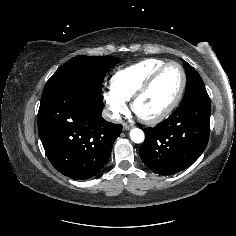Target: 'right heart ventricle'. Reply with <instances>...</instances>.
I'll return each mask as SVG.
<instances>
[{
    "label": "right heart ventricle",
    "mask_w": 236,
    "mask_h": 236,
    "mask_svg": "<svg viewBox=\"0 0 236 236\" xmlns=\"http://www.w3.org/2000/svg\"><path fill=\"white\" fill-rule=\"evenodd\" d=\"M166 62L151 58L118 70L112 77V89L123 99L130 100L142 84Z\"/></svg>",
    "instance_id": "obj_1"
}]
</instances>
